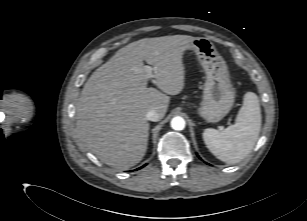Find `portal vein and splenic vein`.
<instances>
[{"label":"portal vein and splenic vein","instance_id":"obj_1","mask_svg":"<svg viewBox=\"0 0 307 221\" xmlns=\"http://www.w3.org/2000/svg\"><path fill=\"white\" fill-rule=\"evenodd\" d=\"M144 70L146 71V78L147 79H151V78H153L154 77V75H153V73H152V71H153V69H152V67L151 66H144Z\"/></svg>","mask_w":307,"mask_h":221}]
</instances>
